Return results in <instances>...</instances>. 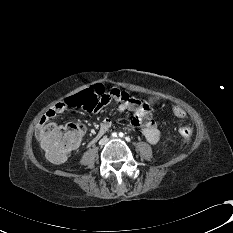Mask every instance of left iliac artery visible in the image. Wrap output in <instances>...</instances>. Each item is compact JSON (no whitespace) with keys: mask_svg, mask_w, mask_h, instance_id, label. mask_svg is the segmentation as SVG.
<instances>
[{"mask_svg":"<svg viewBox=\"0 0 233 233\" xmlns=\"http://www.w3.org/2000/svg\"><path fill=\"white\" fill-rule=\"evenodd\" d=\"M119 136H120V137H123L124 134H123L122 132H120V133H119ZM126 140H127V141H130V138H126Z\"/></svg>","mask_w":233,"mask_h":233,"instance_id":"44dca946","label":"left iliac artery"}]
</instances>
